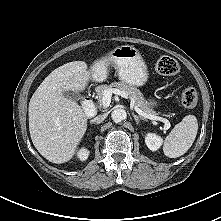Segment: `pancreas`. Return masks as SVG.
I'll use <instances>...</instances> for the list:
<instances>
[{"label": "pancreas", "instance_id": "obj_1", "mask_svg": "<svg viewBox=\"0 0 221 221\" xmlns=\"http://www.w3.org/2000/svg\"><path fill=\"white\" fill-rule=\"evenodd\" d=\"M108 89H118L120 91L125 92L130 97L134 105L140 108L143 112L152 115L155 114V111H153V109L150 108L148 102L144 99L143 94L140 92V90L125 82H112L109 85L104 84L97 86L95 91L97 93L100 105H102L103 93Z\"/></svg>", "mask_w": 221, "mask_h": 221}]
</instances>
